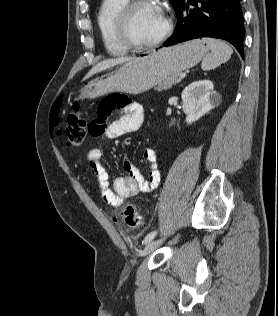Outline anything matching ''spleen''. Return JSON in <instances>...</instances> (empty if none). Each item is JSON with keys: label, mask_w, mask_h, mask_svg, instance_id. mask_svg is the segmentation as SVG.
I'll list each match as a JSON object with an SVG mask.
<instances>
[{"label": "spleen", "mask_w": 278, "mask_h": 316, "mask_svg": "<svg viewBox=\"0 0 278 316\" xmlns=\"http://www.w3.org/2000/svg\"><path fill=\"white\" fill-rule=\"evenodd\" d=\"M202 43L206 44L211 53L204 56L201 63L203 70H211L228 61L233 54L232 48L218 39L204 37Z\"/></svg>", "instance_id": "1"}]
</instances>
